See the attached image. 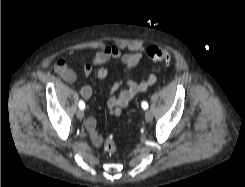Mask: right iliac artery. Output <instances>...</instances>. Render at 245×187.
Masks as SVG:
<instances>
[{
  "instance_id": "obj_1",
  "label": "right iliac artery",
  "mask_w": 245,
  "mask_h": 187,
  "mask_svg": "<svg viewBox=\"0 0 245 187\" xmlns=\"http://www.w3.org/2000/svg\"><path fill=\"white\" fill-rule=\"evenodd\" d=\"M78 105H79V108L82 110L85 108V103L83 101H80Z\"/></svg>"
}]
</instances>
